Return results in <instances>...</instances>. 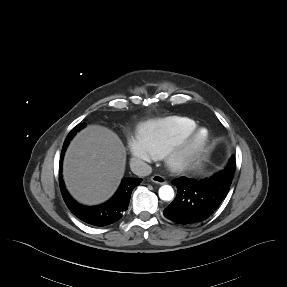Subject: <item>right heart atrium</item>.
<instances>
[{"instance_id": "right-heart-atrium-1", "label": "right heart atrium", "mask_w": 287, "mask_h": 287, "mask_svg": "<svg viewBox=\"0 0 287 287\" xmlns=\"http://www.w3.org/2000/svg\"><path fill=\"white\" fill-rule=\"evenodd\" d=\"M129 148L133 159L138 162H151L156 158L149 141L142 134L131 140Z\"/></svg>"}]
</instances>
